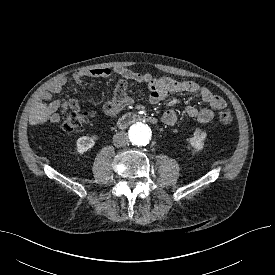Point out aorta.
Masks as SVG:
<instances>
[{
    "label": "aorta",
    "instance_id": "762f6f07",
    "mask_svg": "<svg viewBox=\"0 0 275 275\" xmlns=\"http://www.w3.org/2000/svg\"><path fill=\"white\" fill-rule=\"evenodd\" d=\"M129 136L135 145H147L151 137V129L147 124L137 122L131 126Z\"/></svg>",
    "mask_w": 275,
    "mask_h": 275
}]
</instances>
